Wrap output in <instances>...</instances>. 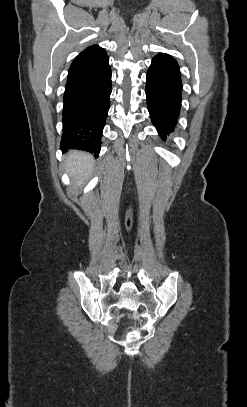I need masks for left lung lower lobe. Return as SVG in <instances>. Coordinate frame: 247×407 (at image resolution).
Masks as SVG:
<instances>
[{
    "mask_svg": "<svg viewBox=\"0 0 247 407\" xmlns=\"http://www.w3.org/2000/svg\"><path fill=\"white\" fill-rule=\"evenodd\" d=\"M182 81L174 58L159 53L147 72L146 100L151 120L165 140L174 130L181 107Z\"/></svg>",
    "mask_w": 247,
    "mask_h": 407,
    "instance_id": "0a47b994",
    "label": "left lung lower lobe"
}]
</instances>
